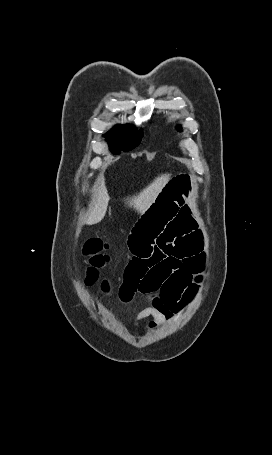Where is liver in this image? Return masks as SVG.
Here are the masks:
<instances>
[{
    "label": "liver",
    "mask_w": 272,
    "mask_h": 455,
    "mask_svg": "<svg viewBox=\"0 0 272 455\" xmlns=\"http://www.w3.org/2000/svg\"><path fill=\"white\" fill-rule=\"evenodd\" d=\"M169 179V174H163L157 177L137 196L128 199L129 206H133L140 214H143L155 202ZM99 181L100 185L97 187L89 207L88 219L86 221L89 225L100 222L104 218L108 206L109 196L104 179L100 178Z\"/></svg>",
    "instance_id": "1"
}]
</instances>
